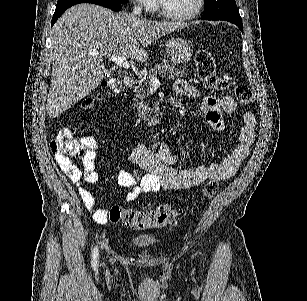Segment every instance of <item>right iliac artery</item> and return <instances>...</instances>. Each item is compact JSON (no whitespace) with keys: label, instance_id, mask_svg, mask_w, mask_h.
<instances>
[{"label":"right iliac artery","instance_id":"82829eb1","mask_svg":"<svg viewBox=\"0 0 307 301\" xmlns=\"http://www.w3.org/2000/svg\"><path fill=\"white\" fill-rule=\"evenodd\" d=\"M97 259H98V249H97V247H95L94 250H93V255H92V266H93V268L97 267Z\"/></svg>","mask_w":307,"mask_h":301}]
</instances>
